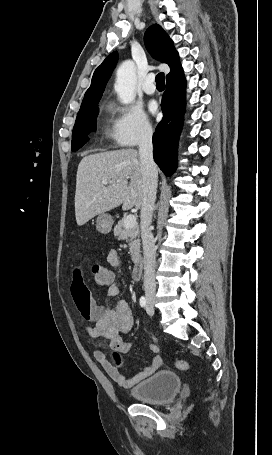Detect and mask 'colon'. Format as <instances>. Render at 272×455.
<instances>
[{
  "label": "colon",
  "instance_id": "colon-1",
  "mask_svg": "<svg viewBox=\"0 0 272 455\" xmlns=\"http://www.w3.org/2000/svg\"><path fill=\"white\" fill-rule=\"evenodd\" d=\"M91 273L93 283L97 287L107 286L114 278L113 271H111L104 262L93 264ZM115 357L118 358L117 353L115 354ZM176 365L180 370H186L189 367V364L184 360L178 361Z\"/></svg>",
  "mask_w": 272,
  "mask_h": 455
}]
</instances>
